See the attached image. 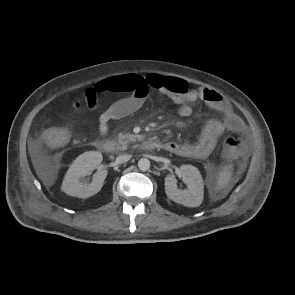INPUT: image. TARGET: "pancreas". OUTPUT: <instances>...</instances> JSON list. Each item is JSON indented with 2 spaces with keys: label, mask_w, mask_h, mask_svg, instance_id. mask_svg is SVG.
Wrapping results in <instances>:
<instances>
[{
  "label": "pancreas",
  "mask_w": 295,
  "mask_h": 295,
  "mask_svg": "<svg viewBox=\"0 0 295 295\" xmlns=\"http://www.w3.org/2000/svg\"><path fill=\"white\" fill-rule=\"evenodd\" d=\"M135 139L136 136L132 134H119L117 136L119 148L125 150L127 148V144L130 142H134Z\"/></svg>",
  "instance_id": "pancreas-1"
}]
</instances>
